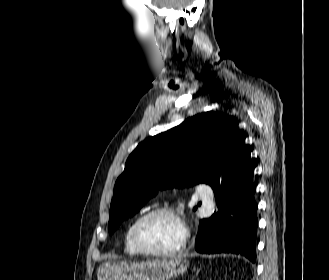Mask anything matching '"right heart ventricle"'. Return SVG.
<instances>
[{
	"instance_id": "right-heart-ventricle-1",
	"label": "right heart ventricle",
	"mask_w": 329,
	"mask_h": 280,
	"mask_svg": "<svg viewBox=\"0 0 329 280\" xmlns=\"http://www.w3.org/2000/svg\"><path fill=\"white\" fill-rule=\"evenodd\" d=\"M137 219H138V216L131 220V222L128 224L125 234H124V251L127 255H130V256L140 255L139 251L133 245L132 238H131L132 228Z\"/></svg>"
}]
</instances>
